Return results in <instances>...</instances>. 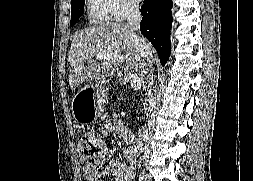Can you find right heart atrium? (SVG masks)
<instances>
[{
	"instance_id": "obj_1",
	"label": "right heart atrium",
	"mask_w": 253,
	"mask_h": 181,
	"mask_svg": "<svg viewBox=\"0 0 253 181\" xmlns=\"http://www.w3.org/2000/svg\"><path fill=\"white\" fill-rule=\"evenodd\" d=\"M112 16L116 20L125 19L138 11L136 0H109Z\"/></svg>"
}]
</instances>
